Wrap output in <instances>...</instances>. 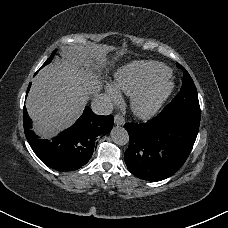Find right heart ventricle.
Wrapping results in <instances>:
<instances>
[{
  "instance_id": "right-heart-ventricle-1",
  "label": "right heart ventricle",
  "mask_w": 228,
  "mask_h": 228,
  "mask_svg": "<svg viewBox=\"0 0 228 228\" xmlns=\"http://www.w3.org/2000/svg\"><path fill=\"white\" fill-rule=\"evenodd\" d=\"M169 71L161 64L145 62L133 65L118 73L119 87L133 96L147 86L164 80Z\"/></svg>"
}]
</instances>
